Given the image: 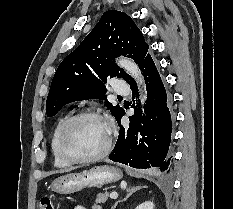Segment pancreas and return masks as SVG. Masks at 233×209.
<instances>
[{"mask_svg":"<svg viewBox=\"0 0 233 209\" xmlns=\"http://www.w3.org/2000/svg\"><path fill=\"white\" fill-rule=\"evenodd\" d=\"M108 196L109 195L107 193L106 194H102V193L98 194L97 199L95 201V204L92 206V209H101L100 204L106 202Z\"/></svg>","mask_w":233,"mask_h":209,"instance_id":"1","label":"pancreas"}]
</instances>
